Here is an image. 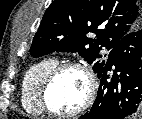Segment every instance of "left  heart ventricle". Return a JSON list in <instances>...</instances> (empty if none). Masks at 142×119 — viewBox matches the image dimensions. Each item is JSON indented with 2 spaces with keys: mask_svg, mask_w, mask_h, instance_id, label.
<instances>
[{
  "mask_svg": "<svg viewBox=\"0 0 142 119\" xmlns=\"http://www.w3.org/2000/svg\"><path fill=\"white\" fill-rule=\"evenodd\" d=\"M86 93V80L76 69L61 72L53 82L48 100L50 106L60 112H69L78 108Z\"/></svg>",
  "mask_w": 142,
  "mask_h": 119,
  "instance_id": "left-heart-ventricle-1",
  "label": "left heart ventricle"
}]
</instances>
